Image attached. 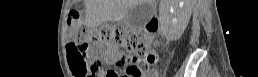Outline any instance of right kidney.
<instances>
[{"label": "right kidney", "mask_w": 258, "mask_h": 77, "mask_svg": "<svg viewBox=\"0 0 258 77\" xmlns=\"http://www.w3.org/2000/svg\"><path fill=\"white\" fill-rule=\"evenodd\" d=\"M180 2V5L183 4L184 0H179ZM173 5H168V4H164L161 6V9L164 10V11H172V15L169 16V19L171 20V24L169 25V39L171 40H176V39H179L185 28H186V24H181V23H178V20L176 18H174L175 16V11H174V8H172ZM171 7V8H170ZM192 10V8H191Z\"/></svg>", "instance_id": "obj_1"}]
</instances>
